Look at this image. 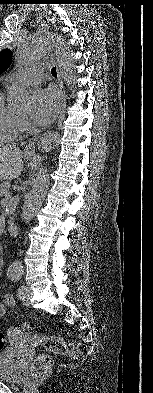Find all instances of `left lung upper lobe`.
Segmentation results:
<instances>
[{
	"label": "left lung upper lobe",
	"mask_w": 153,
	"mask_h": 393,
	"mask_svg": "<svg viewBox=\"0 0 153 393\" xmlns=\"http://www.w3.org/2000/svg\"><path fill=\"white\" fill-rule=\"evenodd\" d=\"M12 53L9 49L0 52V74H2L11 63Z\"/></svg>",
	"instance_id": "left-lung-upper-lobe-1"
}]
</instances>
